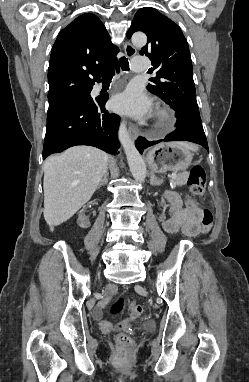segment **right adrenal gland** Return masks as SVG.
Returning <instances> with one entry per match:
<instances>
[{
  "instance_id": "right-adrenal-gland-1",
  "label": "right adrenal gland",
  "mask_w": 249,
  "mask_h": 382,
  "mask_svg": "<svg viewBox=\"0 0 249 382\" xmlns=\"http://www.w3.org/2000/svg\"><path fill=\"white\" fill-rule=\"evenodd\" d=\"M108 172L105 173L103 179L100 181V183L97 186V189H99L102 185L106 184L108 181Z\"/></svg>"
}]
</instances>
